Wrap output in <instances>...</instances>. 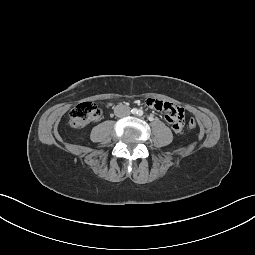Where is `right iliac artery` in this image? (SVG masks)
Masks as SVG:
<instances>
[{"label":"right iliac artery","mask_w":255,"mask_h":255,"mask_svg":"<svg viewBox=\"0 0 255 255\" xmlns=\"http://www.w3.org/2000/svg\"><path fill=\"white\" fill-rule=\"evenodd\" d=\"M131 112H132V114H137L138 110H137L136 108H133V109L131 110Z\"/></svg>","instance_id":"1"}]
</instances>
